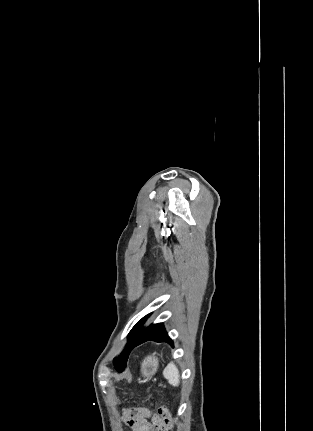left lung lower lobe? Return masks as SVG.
Returning a JSON list of instances; mask_svg holds the SVG:
<instances>
[{
	"instance_id": "left-lung-lower-lobe-1",
	"label": "left lung lower lobe",
	"mask_w": 313,
	"mask_h": 431,
	"mask_svg": "<svg viewBox=\"0 0 313 431\" xmlns=\"http://www.w3.org/2000/svg\"><path fill=\"white\" fill-rule=\"evenodd\" d=\"M167 342L173 346V341L168 336L162 323L152 324L147 328H143L132 344V349L146 341Z\"/></svg>"
}]
</instances>
